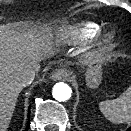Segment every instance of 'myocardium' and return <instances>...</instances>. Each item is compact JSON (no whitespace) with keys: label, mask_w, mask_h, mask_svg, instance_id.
I'll return each instance as SVG.
<instances>
[{"label":"myocardium","mask_w":131,"mask_h":131,"mask_svg":"<svg viewBox=\"0 0 131 131\" xmlns=\"http://www.w3.org/2000/svg\"><path fill=\"white\" fill-rule=\"evenodd\" d=\"M116 41V34L113 31H105L99 33L95 40V48L91 52L92 58H102L105 56L114 46Z\"/></svg>","instance_id":"obj_1"}]
</instances>
